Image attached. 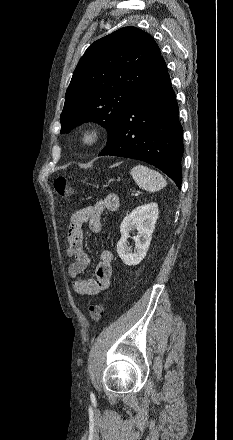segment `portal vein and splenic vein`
<instances>
[{"label": "portal vein and splenic vein", "mask_w": 233, "mask_h": 440, "mask_svg": "<svg viewBox=\"0 0 233 440\" xmlns=\"http://www.w3.org/2000/svg\"><path fill=\"white\" fill-rule=\"evenodd\" d=\"M140 191L133 192L132 195H139Z\"/></svg>", "instance_id": "1"}]
</instances>
